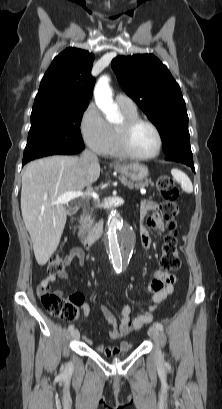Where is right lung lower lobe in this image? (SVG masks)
Returning a JSON list of instances; mask_svg holds the SVG:
<instances>
[{
	"label": "right lung lower lobe",
	"mask_w": 222,
	"mask_h": 409,
	"mask_svg": "<svg viewBox=\"0 0 222 409\" xmlns=\"http://www.w3.org/2000/svg\"><path fill=\"white\" fill-rule=\"evenodd\" d=\"M83 148H84V146L81 147L80 149H78L77 153L80 152ZM28 162H29V161H23V165H25V164L28 163Z\"/></svg>",
	"instance_id": "obj_1"
}]
</instances>
